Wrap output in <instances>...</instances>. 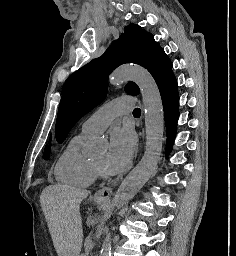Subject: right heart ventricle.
I'll return each mask as SVG.
<instances>
[{"mask_svg": "<svg viewBox=\"0 0 236 256\" xmlns=\"http://www.w3.org/2000/svg\"><path fill=\"white\" fill-rule=\"evenodd\" d=\"M85 137L86 135L80 134L72 138L58 158L55 166V178L58 182L78 188H88L95 182V166L80 151Z\"/></svg>", "mask_w": 236, "mask_h": 256, "instance_id": "obj_1", "label": "right heart ventricle"}]
</instances>
